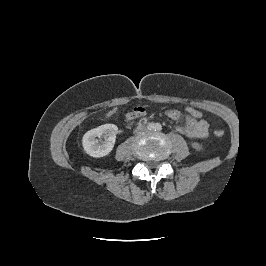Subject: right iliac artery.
<instances>
[{
    "mask_svg": "<svg viewBox=\"0 0 266 266\" xmlns=\"http://www.w3.org/2000/svg\"><path fill=\"white\" fill-rule=\"evenodd\" d=\"M147 128H148V130H154L155 129V124L154 123H149L147 125Z\"/></svg>",
    "mask_w": 266,
    "mask_h": 266,
    "instance_id": "1",
    "label": "right iliac artery"
}]
</instances>
